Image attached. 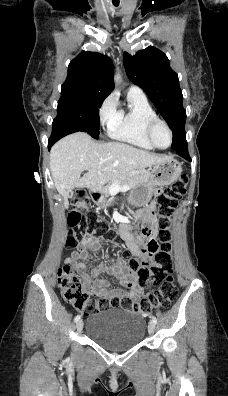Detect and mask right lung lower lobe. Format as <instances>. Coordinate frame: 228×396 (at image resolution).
I'll list each match as a JSON object with an SVG mask.
<instances>
[{"label":"right lung lower lobe","mask_w":228,"mask_h":396,"mask_svg":"<svg viewBox=\"0 0 228 396\" xmlns=\"http://www.w3.org/2000/svg\"><path fill=\"white\" fill-rule=\"evenodd\" d=\"M60 138H62V136H61V135H57V134L55 133V128L53 127L52 135H51V137H50L49 140H48V148L50 149L51 146H52L56 141H58Z\"/></svg>","instance_id":"98d812e1"}]
</instances>
